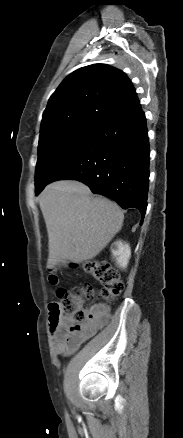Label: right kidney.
<instances>
[{
	"label": "right kidney",
	"mask_w": 183,
	"mask_h": 438,
	"mask_svg": "<svg viewBox=\"0 0 183 438\" xmlns=\"http://www.w3.org/2000/svg\"><path fill=\"white\" fill-rule=\"evenodd\" d=\"M113 257L116 259V263L120 268H126L131 256V250L129 244L117 241L114 243L111 249Z\"/></svg>",
	"instance_id": "right-kidney-1"
}]
</instances>
